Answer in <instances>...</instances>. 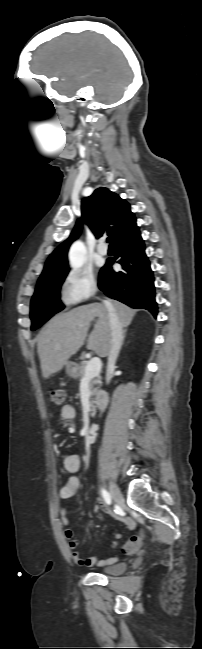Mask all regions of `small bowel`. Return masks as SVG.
<instances>
[{"instance_id": "obj_1", "label": "small bowel", "mask_w": 202, "mask_h": 649, "mask_svg": "<svg viewBox=\"0 0 202 649\" xmlns=\"http://www.w3.org/2000/svg\"><path fill=\"white\" fill-rule=\"evenodd\" d=\"M60 417L64 421L73 420L76 417L75 408L70 404L64 405L61 408ZM80 467H81V460L78 454L76 453L70 454L64 459V469L68 473H71L72 475L65 480L63 486L60 489L59 495L62 500H69L79 490L80 479L74 474L80 470ZM96 505L102 509H106V505L102 500H97ZM83 514L86 515V512H84ZM60 519L62 524L65 527H68L70 525L71 519H70L69 511L67 509H62L60 511ZM116 535L117 538L120 537L118 533ZM64 536L68 540V548L71 551V557L78 566L103 567L106 565H111L118 561L117 557H110V558L103 559L96 556H91L85 558L77 550L79 546V541L76 538H74L73 531L69 528L65 529ZM114 544L116 545V542Z\"/></svg>"}]
</instances>
